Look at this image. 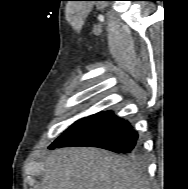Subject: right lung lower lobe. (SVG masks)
<instances>
[{
    "instance_id": "right-lung-lower-lobe-1",
    "label": "right lung lower lobe",
    "mask_w": 188,
    "mask_h": 189,
    "mask_svg": "<svg viewBox=\"0 0 188 189\" xmlns=\"http://www.w3.org/2000/svg\"><path fill=\"white\" fill-rule=\"evenodd\" d=\"M137 140L138 133L132 129L128 121L107 111L75 122L49 148L91 146L116 153L136 154L140 151Z\"/></svg>"
}]
</instances>
